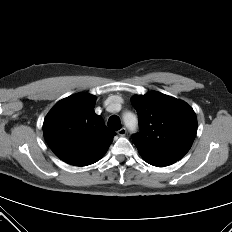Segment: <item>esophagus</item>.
<instances>
[{
  "label": "esophagus",
  "instance_id": "34e87169",
  "mask_svg": "<svg viewBox=\"0 0 232 232\" xmlns=\"http://www.w3.org/2000/svg\"><path fill=\"white\" fill-rule=\"evenodd\" d=\"M117 133L119 136H125L127 133V130H126V128L123 127L120 130H118Z\"/></svg>",
  "mask_w": 232,
  "mask_h": 232
}]
</instances>
